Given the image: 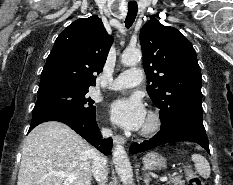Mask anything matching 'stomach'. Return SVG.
<instances>
[{"label":"stomach","instance_id":"obj_1","mask_svg":"<svg viewBox=\"0 0 233 185\" xmlns=\"http://www.w3.org/2000/svg\"><path fill=\"white\" fill-rule=\"evenodd\" d=\"M143 166L147 170L161 169L166 166V161L158 153L149 152L143 158Z\"/></svg>","mask_w":233,"mask_h":185}]
</instances>
